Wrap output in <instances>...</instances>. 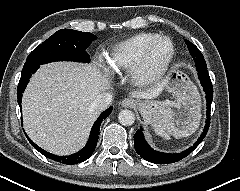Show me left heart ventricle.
<instances>
[{
	"label": "left heart ventricle",
	"mask_w": 240,
	"mask_h": 191,
	"mask_svg": "<svg viewBox=\"0 0 240 191\" xmlns=\"http://www.w3.org/2000/svg\"><path fill=\"white\" fill-rule=\"evenodd\" d=\"M171 47L167 41L160 42L153 50L150 62L149 69L154 70L158 68L168 57Z\"/></svg>",
	"instance_id": "b2bd125f"
}]
</instances>
